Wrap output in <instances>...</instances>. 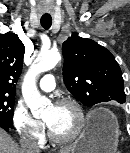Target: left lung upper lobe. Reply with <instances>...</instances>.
<instances>
[{"label": "left lung upper lobe", "instance_id": "1", "mask_svg": "<svg viewBox=\"0 0 130 153\" xmlns=\"http://www.w3.org/2000/svg\"><path fill=\"white\" fill-rule=\"evenodd\" d=\"M62 52L64 83L77 100L85 106L125 102L122 72L108 49L73 33L62 44Z\"/></svg>", "mask_w": 130, "mask_h": 153}]
</instances>
